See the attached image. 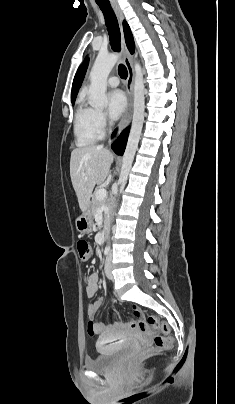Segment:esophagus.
Instances as JSON below:
<instances>
[{"instance_id":"34e87169","label":"esophagus","mask_w":235,"mask_h":404,"mask_svg":"<svg viewBox=\"0 0 235 404\" xmlns=\"http://www.w3.org/2000/svg\"><path fill=\"white\" fill-rule=\"evenodd\" d=\"M112 7L121 24L124 19L122 10L120 9V7L117 3H112ZM121 48H122V52H123V62L128 71V77H127V81H126L127 106H126L125 112L119 122V125L117 128V135H119L122 132V130L124 128H126L127 125L130 123L131 117H132V111H133L134 69H133V66L131 63V55L126 46L123 34L121 35ZM111 142H112V140L110 139L109 143L111 144Z\"/></svg>"}]
</instances>
